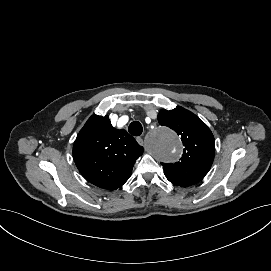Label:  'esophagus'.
Returning a JSON list of instances; mask_svg holds the SVG:
<instances>
[{
	"label": "esophagus",
	"instance_id": "esophagus-1",
	"mask_svg": "<svg viewBox=\"0 0 271 271\" xmlns=\"http://www.w3.org/2000/svg\"><path fill=\"white\" fill-rule=\"evenodd\" d=\"M136 141H137L140 145H143V139H142V138L137 137V138H136Z\"/></svg>",
	"mask_w": 271,
	"mask_h": 271
}]
</instances>
